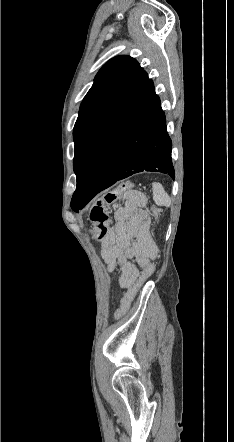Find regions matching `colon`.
I'll list each match as a JSON object with an SVG mask.
<instances>
[{"instance_id": "colon-1", "label": "colon", "mask_w": 234, "mask_h": 442, "mask_svg": "<svg viewBox=\"0 0 234 442\" xmlns=\"http://www.w3.org/2000/svg\"><path fill=\"white\" fill-rule=\"evenodd\" d=\"M134 184L131 182H125L120 184L115 189L105 193L99 200L92 206L89 218L94 227V236L96 239H103L108 233V212L107 207L115 204L118 200L126 197L132 190ZM149 213L156 217L157 210L151 207ZM147 268L142 272L139 280L134 284L122 299L120 309L116 313V317H120L129 308L133 298L140 288L144 285L145 281L154 273L155 269L159 268L160 263L157 260L148 261L146 263Z\"/></svg>"}]
</instances>
